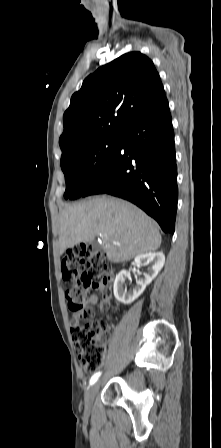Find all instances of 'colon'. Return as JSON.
<instances>
[{"instance_id": "colon-1", "label": "colon", "mask_w": 221, "mask_h": 448, "mask_svg": "<svg viewBox=\"0 0 221 448\" xmlns=\"http://www.w3.org/2000/svg\"><path fill=\"white\" fill-rule=\"evenodd\" d=\"M63 278L70 283L66 290L68 308L83 315L84 323L72 329V339L79 352V360L87 372L99 369L105 358L106 319H94L87 308L89 293L109 287L112 266L105 254L93 247L77 245L62 257Z\"/></svg>"}]
</instances>
